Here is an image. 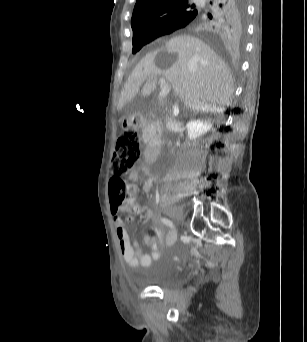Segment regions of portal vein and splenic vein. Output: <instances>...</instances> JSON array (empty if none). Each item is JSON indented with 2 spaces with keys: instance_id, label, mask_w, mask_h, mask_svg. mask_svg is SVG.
Returning a JSON list of instances; mask_svg holds the SVG:
<instances>
[{
  "instance_id": "1",
  "label": "portal vein and splenic vein",
  "mask_w": 307,
  "mask_h": 342,
  "mask_svg": "<svg viewBox=\"0 0 307 342\" xmlns=\"http://www.w3.org/2000/svg\"><path fill=\"white\" fill-rule=\"evenodd\" d=\"M157 84L158 88L160 89V96L158 98L161 100L166 95V93H170L172 89L170 86H165L167 84V81L163 77L159 78Z\"/></svg>"
}]
</instances>
